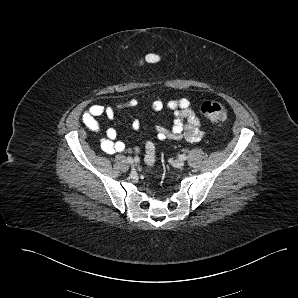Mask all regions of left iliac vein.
I'll list each match as a JSON object with an SVG mask.
<instances>
[{"label": "left iliac vein", "instance_id": "obj_1", "mask_svg": "<svg viewBox=\"0 0 298 298\" xmlns=\"http://www.w3.org/2000/svg\"><path fill=\"white\" fill-rule=\"evenodd\" d=\"M172 165L175 167V168H183L184 167V162L181 161V160H175Z\"/></svg>", "mask_w": 298, "mask_h": 298}]
</instances>
